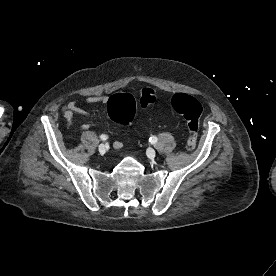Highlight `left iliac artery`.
<instances>
[{
  "label": "left iliac artery",
  "mask_w": 276,
  "mask_h": 276,
  "mask_svg": "<svg viewBox=\"0 0 276 276\" xmlns=\"http://www.w3.org/2000/svg\"><path fill=\"white\" fill-rule=\"evenodd\" d=\"M157 137H155V136H152V137H150V139H149V141L152 143V144H154V143H156L157 142Z\"/></svg>",
  "instance_id": "44dca946"
}]
</instances>
